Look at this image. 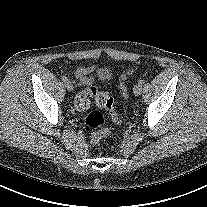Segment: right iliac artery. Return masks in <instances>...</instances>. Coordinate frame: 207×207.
Masks as SVG:
<instances>
[{"label":"right iliac artery","instance_id":"obj_1","mask_svg":"<svg viewBox=\"0 0 207 207\" xmlns=\"http://www.w3.org/2000/svg\"><path fill=\"white\" fill-rule=\"evenodd\" d=\"M61 79L63 82H66L68 80L66 76H62Z\"/></svg>","mask_w":207,"mask_h":207}]
</instances>
